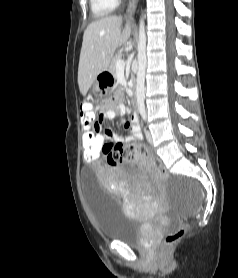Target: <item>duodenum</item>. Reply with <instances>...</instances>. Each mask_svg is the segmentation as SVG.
<instances>
[{
  "mask_svg": "<svg viewBox=\"0 0 238 278\" xmlns=\"http://www.w3.org/2000/svg\"><path fill=\"white\" fill-rule=\"evenodd\" d=\"M131 104H132V107L134 109L137 108V100H136V95L135 94H133L132 97H131Z\"/></svg>",
  "mask_w": 238,
  "mask_h": 278,
  "instance_id": "duodenum-1",
  "label": "duodenum"
}]
</instances>
